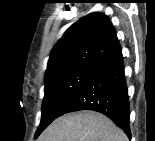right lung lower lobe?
<instances>
[{
	"label": "right lung lower lobe",
	"mask_w": 155,
	"mask_h": 141,
	"mask_svg": "<svg viewBox=\"0 0 155 141\" xmlns=\"http://www.w3.org/2000/svg\"><path fill=\"white\" fill-rule=\"evenodd\" d=\"M129 108L123 56L118 43L65 104L59 116L80 110L97 111L109 117L130 139Z\"/></svg>",
	"instance_id": "obj_1"
}]
</instances>
